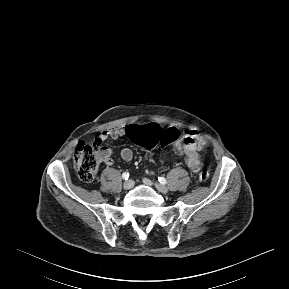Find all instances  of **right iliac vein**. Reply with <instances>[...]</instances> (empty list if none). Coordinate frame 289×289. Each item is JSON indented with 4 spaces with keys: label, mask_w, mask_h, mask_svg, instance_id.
<instances>
[{
    "label": "right iliac vein",
    "mask_w": 289,
    "mask_h": 289,
    "mask_svg": "<svg viewBox=\"0 0 289 289\" xmlns=\"http://www.w3.org/2000/svg\"><path fill=\"white\" fill-rule=\"evenodd\" d=\"M134 186V181L133 180H128L126 182H124L123 187L126 190L132 189Z\"/></svg>",
    "instance_id": "obj_1"
}]
</instances>
